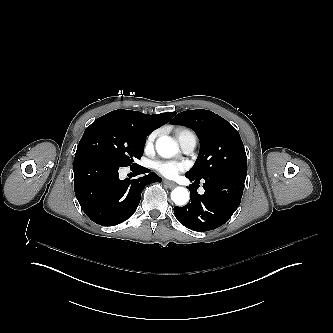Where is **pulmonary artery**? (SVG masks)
Listing matches in <instances>:
<instances>
[{
    "mask_svg": "<svg viewBox=\"0 0 333 333\" xmlns=\"http://www.w3.org/2000/svg\"><path fill=\"white\" fill-rule=\"evenodd\" d=\"M176 139L184 153H192L197 145L196 134L189 129L182 130L176 134Z\"/></svg>",
    "mask_w": 333,
    "mask_h": 333,
    "instance_id": "e3ab8cb5",
    "label": "pulmonary artery"
}]
</instances>
